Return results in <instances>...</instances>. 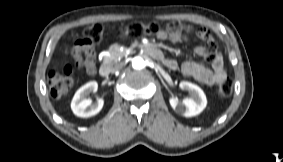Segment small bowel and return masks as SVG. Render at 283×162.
<instances>
[{"label": "small bowel", "instance_id": "c3829d8e", "mask_svg": "<svg viewBox=\"0 0 283 162\" xmlns=\"http://www.w3.org/2000/svg\"><path fill=\"white\" fill-rule=\"evenodd\" d=\"M188 31L189 28L182 23H171L165 29L160 30L157 37L173 43L188 42L189 37L186 34ZM196 35L206 40V47L196 46L194 53L200 58L210 59L211 67L197 61H186L182 64L181 71L183 75L194 78L207 86L219 84L226 80L227 72L222 55L217 53V43L206 28H198ZM72 55L77 67L84 68L89 75L96 73V51L92 43L85 39L77 40L73 46ZM162 61L170 69L177 68V62L174 59L163 57Z\"/></svg>", "mask_w": 283, "mask_h": 162}]
</instances>
